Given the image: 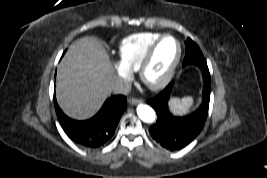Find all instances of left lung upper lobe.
<instances>
[{
	"label": "left lung upper lobe",
	"mask_w": 267,
	"mask_h": 178,
	"mask_svg": "<svg viewBox=\"0 0 267 178\" xmlns=\"http://www.w3.org/2000/svg\"><path fill=\"white\" fill-rule=\"evenodd\" d=\"M194 64L201 69H208L206 60L198 47V45L191 39H187L186 42V53L183 61V66Z\"/></svg>",
	"instance_id": "5c2ea615"
}]
</instances>
